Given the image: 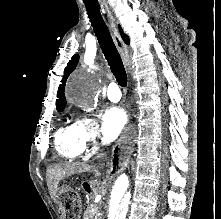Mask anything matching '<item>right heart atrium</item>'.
<instances>
[{
	"instance_id": "d8ad5b80",
	"label": "right heart atrium",
	"mask_w": 221,
	"mask_h": 219,
	"mask_svg": "<svg viewBox=\"0 0 221 219\" xmlns=\"http://www.w3.org/2000/svg\"><path fill=\"white\" fill-rule=\"evenodd\" d=\"M75 124L84 149L91 148L99 136V127L96 119L92 116L84 115L78 118Z\"/></svg>"
}]
</instances>
